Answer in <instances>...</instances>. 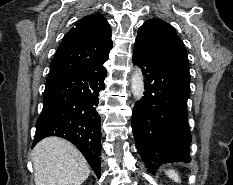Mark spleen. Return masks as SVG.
<instances>
[{
    "label": "spleen",
    "mask_w": 233,
    "mask_h": 185,
    "mask_svg": "<svg viewBox=\"0 0 233 185\" xmlns=\"http://www.w3.org/2000/svg\"><path fill=\"white\" fill-rule=\"evenodd\" d=\"M165 173L169 178H171L175 182H180V177L175 170H167L165 171Z\"/></svg>",
    "instance_id": "spleen-1"
}]
</instances>
